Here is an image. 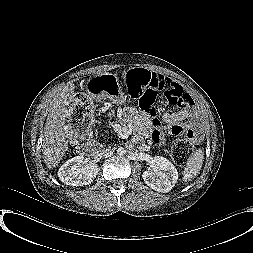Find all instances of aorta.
<instances>
[{
	"label": "aorta",
	"mask_w": 253,
	"mask_h": 253,
	"mask_svg": "<svg viewBox=\"0 0 253 253\" xmlns=\"http://www.w3.org/2000/svg\"><path fill=\"white\" fill-rule=\"evenodd\" d=\"M126 151H127L126 148L122 146V147L118 148L116 152L118 155L122 156L126 153Z\"/></svg>",
	"instance_id": "obj_1"
}]
</instances>
